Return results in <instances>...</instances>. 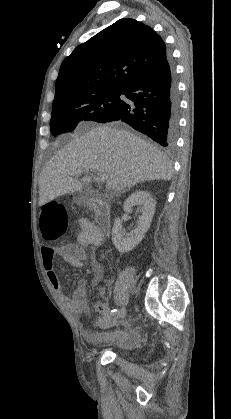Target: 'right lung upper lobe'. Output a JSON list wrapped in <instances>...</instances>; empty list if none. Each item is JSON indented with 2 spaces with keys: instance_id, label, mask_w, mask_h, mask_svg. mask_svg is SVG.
Listing matches in <instances>:
<instances>
[{
  "instance_id": "obj_1",
  "label": "right lung upper lobe",
  "mask_w": 231,
  "mask_h": 419,
  "mask_svg": "<svg viewBox=\"0 0 231 419\" xmlns=\"http://www.w3.org/2000/svg\"><path fill=\"white\" fill-rule=\"evenodd\" d=\"M168 58L162 38L134 19H120L64 59L53 103L103 89L124 90Z\"/></svg>"
}]
</instances>
